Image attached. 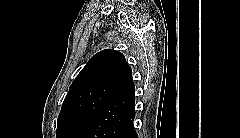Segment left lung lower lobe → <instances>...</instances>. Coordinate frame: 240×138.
Instances as JSON below:
<instances>
[{
    "mask_svg": "<svg viewBox=\"0 0 240 138\" xmlns=\"http://www.w3.org/2000/svg\"><path fill=\"white\" fill-rule=\"evenodd\" d=\"M135 86L132 71L94 117L81 138H138L134 131Z\"/></svg>",
    "mask_w": 240,
    "mask_h": 138,
    "instance_id": "1",
    "label": "left lung lower lobe"
}]
</instances>
